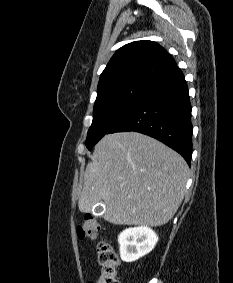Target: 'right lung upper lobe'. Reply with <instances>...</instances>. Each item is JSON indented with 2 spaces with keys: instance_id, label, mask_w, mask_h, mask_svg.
Segmentation results:
<instances>
[{
  "instance_id": "obj_1",
  "label": "right lung upper lobe",
  "mask_w": 233,
  "mask_h": 283,
  "mask_svg": "<svg viewBox=\"0 0 233 283\" xmlns=\"http://www.w3.org/2000/svg\"><path fill=\"white\" fill-rule=\"evenodd\" d=\"M177 66L173 57L153 41H135L116 51L100 75L97 91L130 80L152 81Z\"/></svg>"
}]
</instances>
